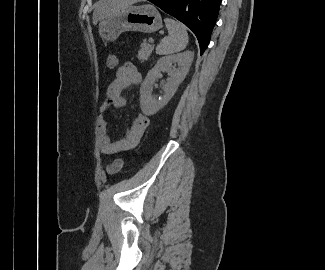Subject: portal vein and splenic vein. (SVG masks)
Listing matches in <instances>:
<instances>
[{"label": "portal vein and splenic vein", "mask_w": 325, "mask_h": 270, "mask_svg": "<svg viewBox=\"0 0 325 270\" xmlns=\"http://www.w3.org/2000/svg\"><path fill=\"white\" fill-rule=\"evenodd\" d=\"M149 41H150V42H153V39H150Z\"/></svg>", "instance_id": "18ae733b"}]
</instances>
